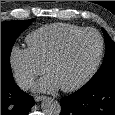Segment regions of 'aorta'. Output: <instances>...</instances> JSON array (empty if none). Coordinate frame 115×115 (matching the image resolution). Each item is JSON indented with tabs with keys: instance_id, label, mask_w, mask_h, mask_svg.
<instances>
[{
	"instance_id": "aorta-1",
	"label": "aorta",
	"mask_w": 115,
	"mask_h": 115,
	"mask_svg": "<svg viewBox=\"0 0 115 115\" xmlns=\"http://www.w3.org/2000/svg\"><path fill=\"white\" fill-rule=\"evenodd\" d=\"M41 109L44 115H60L61 113L60 103L52 98H46L41 104Z\"/></svg>"
}]
</instances>
